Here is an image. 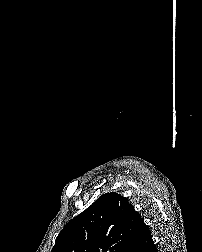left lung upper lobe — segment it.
Masks as SVG:
<instances>
[{
    "label": "left lung upper lobe",
    "instance_id": "5c2ea615",
    "mask_svg": "<svg viewBox=\"0 0 202 252\" xmlns=\"http://www.w3.org/2000/svg\"><path fill=\"white\" fill-rule=\"evenodd\" d=\"M142 220L125 197L105 193L67 223L51 252H132Z\"/></svg>",
    "mask_w": 202,
    "mask_h": 252
}]
</instances>
